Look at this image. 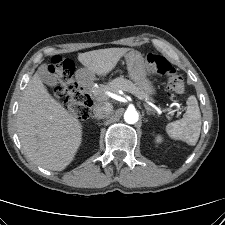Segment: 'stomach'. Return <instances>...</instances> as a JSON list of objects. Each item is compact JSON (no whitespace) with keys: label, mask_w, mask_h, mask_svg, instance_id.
Here are the masks:
<instances>
[{"label":"stomach","mask_w":225,"mask_h":225,"mask_svg":"<svg viewBox=\"0 0 225 225\" xmlns=\"http://www.w3.org/2000/svg\"><path fill=\"white\" fill-rule=\"evenodd\" d=\"M127 70L131 80L146 93L147 96H154L156 88L147 77L146 63L142 54L136 50H130L125 55ZM88 74H91L86 70Z\"/></svg>","instance_id":"1"}]
</instances>
